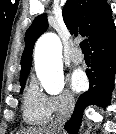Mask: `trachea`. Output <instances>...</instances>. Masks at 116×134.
I'll return each mask as SVG.
<instances>
[{"label":"trachea","instance_id":"1","mask_svg":"<svg viewBox=\"0 0 116 134\" xmlns=\"http://www.w3.org/2000/svg\"><path fill=\"white\" fill-rule=\"evenodd\" d=\"M80 47L82 50V53L84 55H89L90 54V47H89V43L87 39H84L81 43H80Z\"/></svg>","mask_w":116,"mask_h":134}]
</instances>
